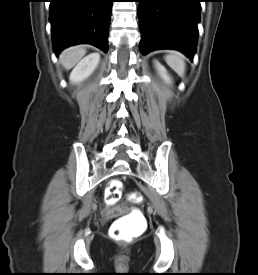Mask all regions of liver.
<instances>
[{"mask_svg": "<svg viewBox=\"0 0 258 275\" xmlns=\"http://www.w3.org/2000/svg\"><path fill=\"white\" fill-rule=\"evenodd\" d=\"M86 49L83 46H73L64 50L60 55V62L62 66L69 70L71 69L84 55Z\"/></svg>", "mask_w": 258, "mask_h": 275, "instance_id": "obj_1", "label": "liver"}]
</instances>
